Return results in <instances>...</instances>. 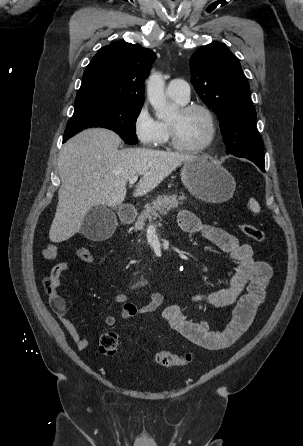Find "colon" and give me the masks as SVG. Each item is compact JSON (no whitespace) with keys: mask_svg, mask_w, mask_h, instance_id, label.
<instances>
[{"mask_svg":"<svg viewBox=\"0 0 303 446\" xmlns=\"http://www.w3.org/2000/svg\"><path fill=\"white\" fill-rule=\"evenodd\" d=\"M240 231L248 238L256 242H263L266 240L265 233L256 226L248 223L239 225ZM77 257L84 262H92L93 254L85 247H80L76 250ZM49 296L53 290L49 279L45 281ZM120 339L115 331L104 332L99 339V351L105 356H115L118 351ZM194 359L191 352L184 354H175L168 351H158L154 354L153 360L164 367H177L190 363Z\"/></svg>","mask_w":303,"mask_h":446,"instance_id":"obj_1","label":"colon"}]
</instances>
